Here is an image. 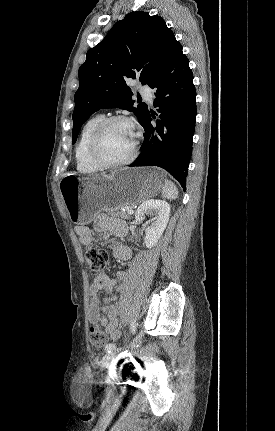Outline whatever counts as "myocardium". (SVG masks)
I'll use <instances>...</instances> for the list:
<instances>
[{
  "label": "myocardium",
  "instance_id": "f54148a6",
  "mask_svg": "<svg viewBox=\"0 0 275 431\" xmlns=\"http://www.w3.org/2000/svg\"><path fill=\"white\" fill-rule=\"evenodd\" d=\"M114 123H126L134 130V125L130 119L124 116L116 115L104 118L93 131L88 142V156L90 160L101 169H117L131 164L138 153L139 141L138 135L135 134L134 145L131 154L119 162H110L104 159L100 154V146L103 136L107 129Z\"/></svg>",
  "mask_w": 275,
  "mask_h": 431
}]
</instances>
